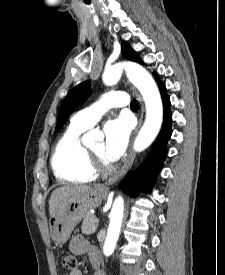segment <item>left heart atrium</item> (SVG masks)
<instances>
[{
  "label": "left heart atrium",
  "mask_w": 225,
  "mask_h": 275,
  "mask_svg": "<svg viewBox=\"0 0 225 275\" xmlns=\"http://www.w3.org/2000/svg\"><path fill=\"white\" fill-rule=\"evenodd\" d=\"M130 131V123L124 117L106 122L103 128L105 136L103 154L108 162H115L122 156L127 147Z\"/></svg>",
  "instance_id": "left-heart-atrium-1"
}]
</instances>
